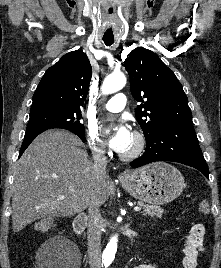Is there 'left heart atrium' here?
<instances>
[{"label": "left heart atrium", "mask_w": 221, "mask_h": 268, "mask_svg": "<svg viewBox=\"0 0 221 268\" xmlns=\"http://www.w3.org/2000/svg\"><path fill=\"white\" fill-rule=\"evenodd\" d=\"M131 139L132 133L130 129L124 122H121L115 127L109 139V144L115 151L123 153L130 144Z\"/></svg>", "instance_id": "39dd6f15"}]
</instances>
